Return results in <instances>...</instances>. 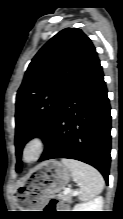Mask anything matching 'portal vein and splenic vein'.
<instances>
[{
	"instance_id": "portal-vein-and-splenic-vein-1",
	"label": "portal vein and splenic vein",
	"mask_w": 123,
	"mask_h": 219,
	"mask_svg": "<svg viewBox=\"0 0 123 219\" xmlns=\"http://www.w3.org/2000/svg\"><path fill=\"white\" fill-rule=\"evenodd\" d=\"M71 192H72V191H71V189H69V188H67V189L64 190V194H68V193H71ZM72 194H73V195H77L78 192H73Z\"/></svg>"
}]
</instances>
